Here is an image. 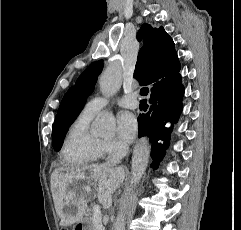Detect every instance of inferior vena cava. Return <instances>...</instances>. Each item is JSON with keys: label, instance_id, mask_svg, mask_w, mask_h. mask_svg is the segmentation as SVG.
Returning <instances> with one entry per match:
<instances>
[{"label": "inferior vena cava", "instance_id": "602c4592", "mask_svg": "<svg viewBox=\"0 0 241 230\" xmlns=\"http://www.w3.org/2000/svg\"><path fill=\"white\" fill-rule=\"evenodd\" d=\"M128 151V146L125 144H122L119 146L117 152L109 159L107 160L104 165L106 166H114L116 163L124 156V154Z\"/></svg>", "mask_w": 241, "mask_h": 230}]
</instances>
